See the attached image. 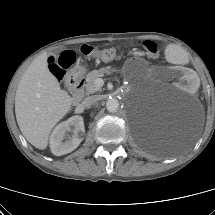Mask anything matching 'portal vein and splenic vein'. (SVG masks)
<instances>
[{"label": "portal vein and splenic vein", "instance_id": "1", "mask_svg": "<svg viewBox=\"0 0 215 215\" xmlns=\"http://www.w3.org/2000/svg\"><path fill=\"white\" fill-rule=\"evenodd\" d=\"M96 83H97L98 86L101 87V86H103V84H104V80H103L102 78H97V79H96Z\"/></svg>", "mask_w": 215, "mask_h": 215}]
</instances>
